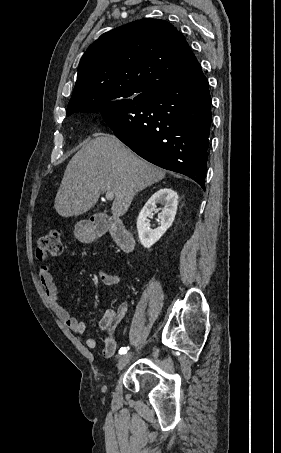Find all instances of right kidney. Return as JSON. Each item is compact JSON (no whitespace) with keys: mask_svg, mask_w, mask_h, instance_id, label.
Here are the masks:
<instances>
[{"mask_svg":"<svg viewBox=\"0 0 281 453\" xmlns=\"http://www.w3.org/2000/svg\"><path fill=\"white\" fill-rule=\"evenodd\" d=\"M157 202H161L163 208H157ZM177 204V192L172 190V188H167V186L166 188H160V190L154 192L149 200H147L146 204H144L137 218V231L139 241L145 249H150L154 243H157V241L161 239L167 229L171 227L175 218ZM154 210H161V212H158V216L161 218V224L157 229H150V220L147 216L154 214Z\"/></svg>","mask_w":281,"mask_h":453,"instance_id":"obj_1","label":"right kidney"}]
</instances>
